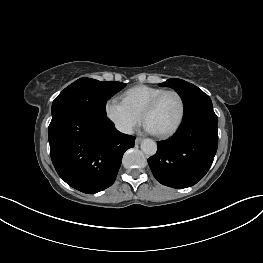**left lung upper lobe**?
<instances>
[{
	"instance_id": "5c2ea615",
	"label": "left lung upper lobe",
	"mask_w": 263,
	"mask_h": 263,
	"mask_svg": "<svg viewBox=\"0 0 263 263\" xmlns=\"http://www.w3.org/2000/svg\"><path fill=\"white\" fill-rule=\"evenodd\" d=\"M159 85L171 87L181 96L185 109L184 118L202 110L213 109L210 97L189 82L172 78Z\"/></svg>"
}]
</instances>
